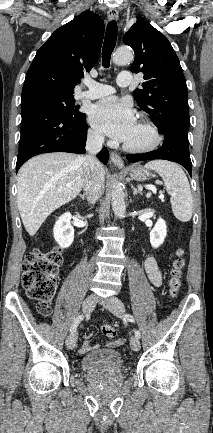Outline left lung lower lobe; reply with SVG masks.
<instances>
[{
  "instance_id": "obj_1",
  "label": "left lung lower lobe",
  "mask_w": 213,
  "mask_h": 433,
  "mask_svg": "<svg viewBox=\"0 0 213 433\" xmlns=\"http://www.w3.org/2000/svg\"><path fill=\"white\" fill-rule=\"evenodd\" d=\"M126 157L131 163L152 159H165L181 164L187 169L190 175L192 172L188 134L177 130L164 132V142L159 149L143 154H131Z\"/></svg>"
}]
</instances>
